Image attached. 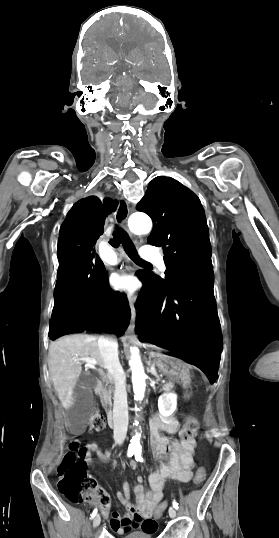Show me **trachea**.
<instances>
[{
  "label": "trachea",
  "instance_id": "trachea-1",
  "mask_svg": "<svg viewBox=\"0 0 279 538\" xmlns=\"http://www.w3.org/2000/svg\"><path fill=\"white\" fill-rule=\"evenodd\" d=\"M110 245L114 248H118L122 243L123 248L131 260L138 262L139 264H148L145 260H142L128 234L124 230L116 229L113 232V238L109 241Z\"/></svg>",
  "mask_w": 279,
  "mask_h": 538
}]
</instances>
